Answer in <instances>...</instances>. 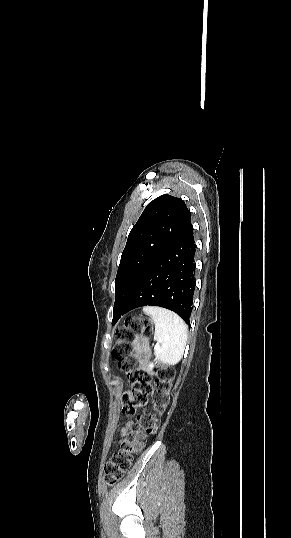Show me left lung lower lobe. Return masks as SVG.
I'll list each match as a JSON object with an SVG mask.
<instances>
[{
	"instance_id": "left-lung-lower-lobe-1",
	"label": "left lung lower lobe",
	"mask_w": 291,
	"mask_h": 538,
	"mask_svg": "<svg viewBox=\"0 0 291 538\" xmlns=\"http://www.w3.org/2000/svg\"><path fill=\"white\" fill-rule=\"evenodd\" d=\"M195 251L190 224L159 255L127 305L113 309L112 324L130 310L148 305L170 309L189 324L196 284Z\"/></svg>"
}]
</instances>
